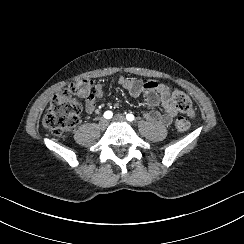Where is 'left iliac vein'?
Returning a JSON list of instances; mask_svg holds the SVG:
<instances>
[{
  "label": "left iliac vein",
  "mask_w": 244,
  "mask_h": 244,
  "mask_svg": "<svg viewBox=\"0 0 244 244\" xmlns=\"http://www.w3.org/2000/svg\"><path fill=\"white\" fill-rule=\"evenodd\" d=\"M113 120L114 121H117V122H126V118L121 115V114H117L113 117Z\"/></svg>",
  "instance_id": "4c4485c4"
}]
</instances>
